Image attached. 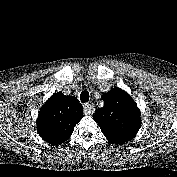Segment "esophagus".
<instances>
[{
  "mask_svg": "<svg viewBox=\"0 0 177 177\" xmlns=\"http://www.w3.org/2000/svg\"><path fill=\"white\" fill-rule=\"evenodd\" d=\"M93 105L91 103H85L83 106V111L85 114H92L93 113Z\"/></svg>",
  "mask_w": 177,
  "mask_h": 177,
  "instance_id": "esophagus-1",
  "label": "esophagus"
}]
</instances>
